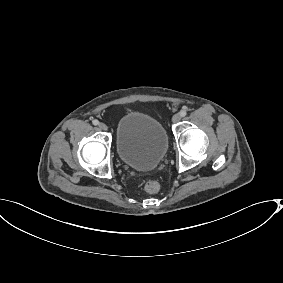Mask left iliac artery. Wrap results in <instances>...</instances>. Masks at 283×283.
Segmentation results:
<instances>
[{
	"instance_id": "44dca946",
	"label": "left iliac artery",
	"mask_w": 283,
	"mask_h": 283,
	"mask_svg": "<svg viewBox=\"0 0 283 283\" xmlns=\"http://www.w3.org/2000/svg\"><path fill=\"white\" fill-rule=\"evenodd\" d=\"M186 114H187V112H186L185 110H181V111H180V115H181V117L186 116Z\"/></svg>"
}]
</instances>
